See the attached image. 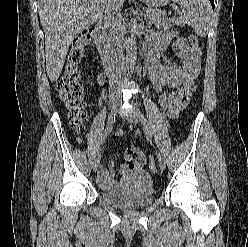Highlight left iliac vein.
Returning a JSON list of instances; mask_svg holds the SVG:
<instances>
[{
    "instance_id": "1",
    "label": "left iliac vein",
    "mask_w": 248,
    "mask_h": 247,
    "mask_svg": "<svg viewBox=\"0 0 248 247\" xmlns=\"http://www.w3.org/2000/svg\"><path fill=\"white\" fill-rule=\"evenodd\" d=\"M129 121L130 122H133L135 124L139 123L140 121V118L138 116V112L136 110H134L129 118ZM157 159H158V164H159V167L160 169L163 171L166 167V160H165V157L159 152L158 153V156H157Z\"/></svg>"
}]
</instances>
